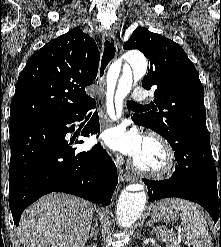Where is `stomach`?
<instances>
[{
	"mask_svg": "<svg viewBox=\"0 0 221 247\" xmlns=\"http://www.w3.org/2000/svg\"><path fill=\"white\" fill-rule=\"evenodd\" d=\"M182 200L179 199H166L157 202L151 208V216L154 219L169 222L171 220L177 219L179 216V204Z\"/></svg>",
	"mask_w": 221,
	"mask_h": 247,
	"instance_id": "0dacf381",
	"label": "stomach"
}]
</instances>
